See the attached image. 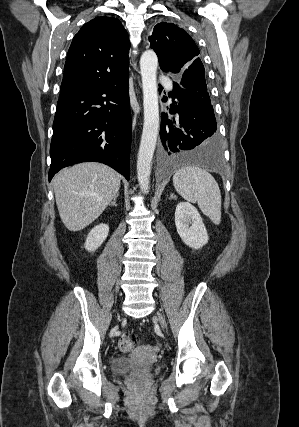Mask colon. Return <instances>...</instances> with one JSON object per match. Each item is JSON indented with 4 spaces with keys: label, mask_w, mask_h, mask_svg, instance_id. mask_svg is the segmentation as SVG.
<instances>
[{
    "label": "colon",
    "mask_w": 299,
    "mask_h": 427,
    "mask_svg": "<svg viewBox=\"0 0 299 427\" xmlns=\"http://www.w3.org/2000/svg\"><path fill=\"white\" fill-rule=\"evenodd\" d=\"M118 346L122 352H131L134 349L133 340L129 336L121 337Z\"/></svg>",
    "instance_id": "1"
}]
</instances>
